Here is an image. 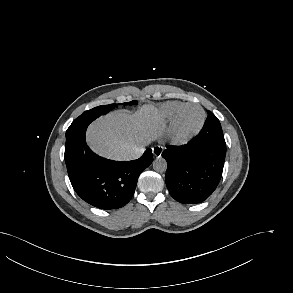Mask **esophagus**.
I'll return each instance as SVG.
<instances>
[{
	"instance_id": "esophagus-1",
	"label": "esophagus",
	"mask_w": 293,
	"mask_h": 293,
	"mask_svg": "<svg viewBox=\"0 0 293 293\" xmlns=\"http://www.w3.org/2000/svg\"><path fill=\"white\" fill-rule=\"evenodd\" d=\"M152 152H153V155L156 157V158H160L161 155H162V152H163V147L162 146H154L152 148Z\"/></svg>"
}]
</instances>
